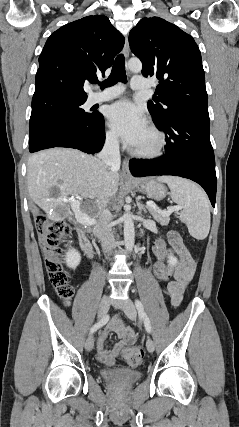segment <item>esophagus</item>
I'll list each match as a JSON object with an SVG mask.
<instances>
[{
  "instance_id": "1",
  "label": "esophagus",
  "mask_w": 239,
  "mask_h": 427,
  "mask_svg": "<svg viewBox=\"0 0 239 427\" xmlns=\"http://www.w3.org/2000/svg\"><path fill=\"white\" fill-rule=\"evenodd\" d=\"M129 52H130L129 41H128V38L126 37L124 48H123V54L125 58L129 57ZM121 176L125 179H131V175L129 171V163L127 159H124L122 162Z\"/></svg>"
}]
</instances>
